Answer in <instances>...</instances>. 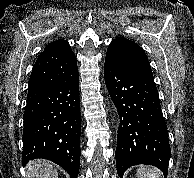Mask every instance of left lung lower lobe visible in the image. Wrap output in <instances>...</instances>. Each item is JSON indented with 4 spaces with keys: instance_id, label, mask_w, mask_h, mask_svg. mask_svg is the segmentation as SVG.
<instances>
[{
    "instance_id": "1",
    "label": "left lung lower lobe",
    "mask_w": 194,
    "mask_h": 178,
    "mask_svg": "<svg viewBox=\"0 0 194 178\" xmlns=\"http://www.w3.org/2000/svg\"><path fill=\"white\" fill-rule=\"evenodd\" d=\"M104 77L122 120L115 153L119 176L137 164L168 173L170 145L157 87L149 79L105 60Z\"/></svg>"
}]
</instances>
